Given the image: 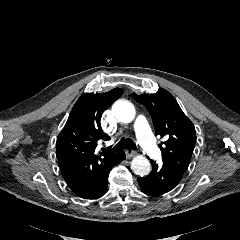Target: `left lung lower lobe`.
<instances>
[{"label":"left lung lower lobe","mask_w":240,"mask_h":240,"mask_svg":"<svg viewBox=\"0 0 240 240\" xmlns=\"http://www.w3.org/2000/svg\"><path fill=\"white\" fill-rule=\"evenodd\" d=\"M153 169L146 177H139L138 183L147 195H162L173 190L181 181L182 177L177 175L166 166L152 162Z\"/></svg>","instance_id":"obj_1"}]
</instances>
